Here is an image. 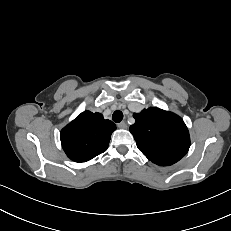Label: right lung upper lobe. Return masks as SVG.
<instances>
[{"label": "right lung upper lobe", "instance_id": "obj_1", "mask_svg": "<svg viewBox=\"0 0 231 231\" xmlns=\"http://www.w3.org/2000/svg\"><path fill=\"white\" fill-rule=\"evenodd\" d=\"M115 124L100 113L82 112L61 130L62 147L75 162H86L108 148Z\"/></svg>", "mask_w": 231, "mask_h": 231}]
</instances>
